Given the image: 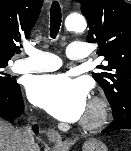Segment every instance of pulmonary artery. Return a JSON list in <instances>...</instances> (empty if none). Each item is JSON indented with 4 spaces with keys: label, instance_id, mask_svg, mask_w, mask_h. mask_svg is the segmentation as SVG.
I'll return each mask as SVG.
<instances>
[{
    "label": "pulmonary artery",
    "instance_id": "e3ab8cb5",
    "mask_svg": "<svg viewBox=\"0 0 131 151\" xmlns=\"http://www.w3.org/2000/svg\"><path fill=\"white\" fill-rule=\"evenodd\" d=\"M28 57L15 62L13 71L16 73H36L54 71L60 68V58L50 52L38 49H28ZM89 56L88 46L84 42H72L67 48V57L71 60L82 61Z\"/></svg>",
    "mask_w": 131,
    "mask_h": 151
}]
</instances>
